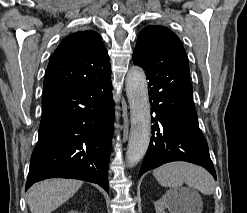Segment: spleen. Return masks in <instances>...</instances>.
<instances>
[{
	"label": "spleen",
	"mask_w": 247,
	"mask_h": 213,
	"mask_svg": "<svg viewBox=\"0 0 247 213\" xmlns=\"http://www.w3.org/2000/svg\"><path fill=\"white\" fill-rule=\"evenodd\" d=\"M153 176L164 187L177 191L183 183L206 195L213 194L215 182L209 172L187 162H170L153 171Z\"/></svg>",
	"instance_id": "3e777b00"
}]
</instances>
